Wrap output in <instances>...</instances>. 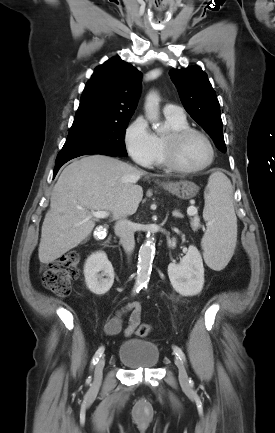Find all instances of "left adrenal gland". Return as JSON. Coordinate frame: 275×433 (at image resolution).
<instances>
[{
	"label": "left adrenal gland",
	"instance_id": "a2214340",
	"mask_svg": "<svg viewBox=\"0 0 275 433\" xmlns=\"http://www.w3.org/2000/svg\"><path fill=\"white\" fill-rule=\"evenodd\" d=\"M172 214L176 218H182V214L178 210L173 211Z\"/></svg>",
	"mask_w": 275,
	"mask_h": 433
}]
</instances>
